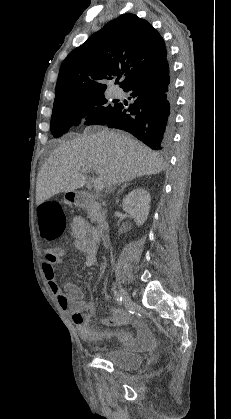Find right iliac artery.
I'll list each match as a JSON object with an SVG mask.
<instances>
[{
  "mask_svg": "<svg viewBox=\"0 0 231 419\" xmlns=\"http://www.w3.org/2000/svg\"><path fill=\"white\" fill-rule=\"evenodd\" d=\"M114 297L119 305L122 304V297L119 295L118 292L114 291Z\"/></svg>",
  "mask_w": 231,
  "mask_h": 419,
  "instance_id": "obj_1",
  "label": "right iliac artery"
}]
</instances>
